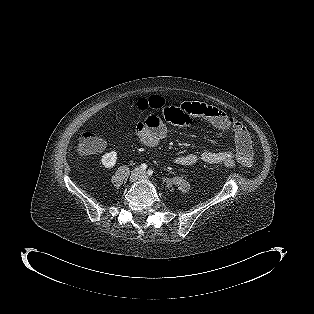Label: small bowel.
<instances>
[{
  "label": "small bowel",
  "instance_id": "obj_1",
  "mask_svg": "<svg viewBox=\"0 0 314 314\" xmlns=\"http://www.w3.org/2000/svg\"><path fill=\"white\" fill-rule=\"evenodd\" d=\"M160 116H154L151 121L147 118L137 124L136 133L143 145L155 147L166 137L167 129L163 121L170 125L192 126L201 119L214 128L231 133L234 136V151L186 153L176 157L175 163L182 166H192L198 161L208 164H221L225 158H233L245 167L252 164L253 150L248 131L237 119L229 116L219 108L191 101L182 104L168 103L162 107Z\"/></svg>",
  "mask_w": 314,
  "mask_h": 314
}]
</instances>
